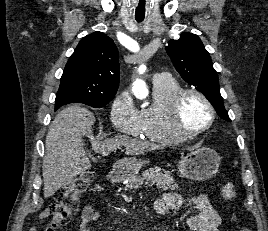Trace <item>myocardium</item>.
<instances>
[{
  "label": "myocardium",
  "instance_id": "myocardium-1",
  "mask_svg": "<svg viewBox=\"0 0 268 231\" xmlns=\"http://www.w3.org/2000/svg\"><path fill=\"white\" fill-rule=\"evenodd\" d=\"M188 95H195L199 99H201L205 103V105L208 107L209 112H210L209 121L205 125L199 127L198 129L194 131H185L180 126L181 105L184 99ZM214 120H215V109H214L213 104L204 93H202L201 91L197 89H193V88L181 89L174 95V97L172 98L170 102V112H169L170 126H171L172 131L175 133V135L179 137L180 139H188V138H192V137H195L204 133L212 126V124L214 123Z\"/></svg>",
  "mask_w": 268,
  "mask_h": 231
}]
</instances>
